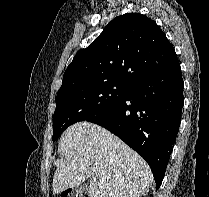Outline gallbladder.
Here are the masks:
<instances>
[{
	"label": "gallbladder",
	"mask_w": 209,
	"mask_h": 197,
	"mask_svg": "<svg viewBox=\"0 0 209 197\" xmlns=\"http://www.w3.org/2000/svg\"><path fill=\"white\" fill-rule=\"evenodd\" d=\"M88 190V185L87 184H81L79 187H78V189H77V191H79V192H81V193H84V192H86Z\"/></svg>",
	"instance_id": "obj_1"
}]
</instances>
